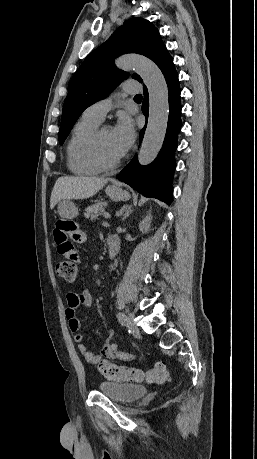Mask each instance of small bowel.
<instances>
[{
    "label": "small bowel",
    "mask_w": 257,
    "mask_h": 459,
    "mask_svg": "<svg viewBox=\"0 0 257 459\" xmlns=\"http://www.w3.org/2000/svg\"><path fill=\"white\" fill-rule=\"evenodd\" d=\"M58 222L54 225L52 238L60 258H63L64 261H70V264H85V255L78 246V244H87L88 242L87 235H84V228L76 227L75 223H71L70 217H61ZM92 302L93 297L89 290L71 291L67 294V306L65 309V317L69 328L76 333L75 341L78 343V351L90 364L94 363L96 357L83 343L84 336L80 333L81 321L76 312L80 307L89 308ZM112 337L113 331L108 330L107 340L101 352L103 357L120 361L133 360L135 358L134 355L123 351L119 345L110 342Z\"/></svg>",
    "instance_id": "obj_1"
}]
</instances>
